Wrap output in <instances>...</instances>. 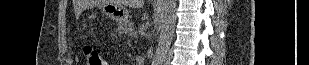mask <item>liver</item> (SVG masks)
Returning a JSON list of instances; mask_svg holds the SVG:
<instances>
[{
  "mask_svg": "<svg viewBox=\"0 0 309 65\" xmlns=\"http://www.w3.org/2000/svg\"><path fill=\"white\" fill-rule=\"evenodd\" d=\"M114 4H124L129 7H141L143 4V0H117L113 1Z\"/></svg>",
  "mask_w": 309,
  "mask_h": 65,
  "instance_id": "1",
  "label": "liver"
}]
</instances>
